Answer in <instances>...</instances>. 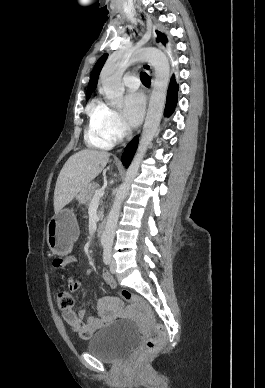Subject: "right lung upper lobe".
Instances as JSON below:
<instances>
[{
	"label": "right lung upper lobe",
	"mask_w": 265,
	"mask_h": 388,
	"mask_svg": "<svg viewBox=\"0 0 265 388\" xmlns=\"http://www.w3.org/2000/svg\"><path fill=\"white\" fill-rule=\"evenodd\" d=\"M107 56H108V54H104L97 61V63L94 66V69H93L91 76H90V82H89L88 88H87V99L90 97L91 92H93L97 86L98 76H99V73H100L106 59H107Z\"/></svg>",
	"instance_id": "cb5924a9"
}]
</instances>
